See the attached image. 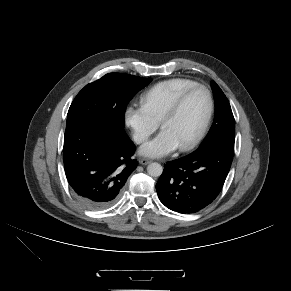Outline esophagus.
Returning a JSON list of instances; mask_svg holds the SVG:
<instances>
[{
  "label": "esophagus",
  "instance_id": "esophagus-1",
  "mask_svg": "<svg viewBox=\"0 0 291 291\" xmlns=\"http://www.w3.org/2000/svg\"><path fill=\"white\" fill-rule=\"evenodd\" d=\"M151 162L150 159H147V158H140L139 159V163L142 164V165H147Z\"/></svg>",
  "mask_w": 291,
  "mask_h": 291
}]
</instances>
